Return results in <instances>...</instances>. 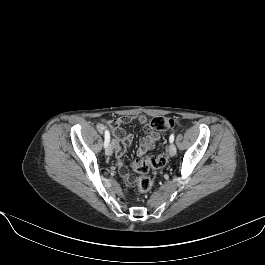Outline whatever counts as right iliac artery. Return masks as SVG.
<instances>
[{"mask_svg": "<svg viewBox=\"0 0 265 265\" xmlns=\"http://www.w3.org/2000/svg\"><path fill=\"white\" fill-rule=\"evenodd\" d=\"M105 141H104V147L106 148L109 145L110 142V134L108 130H105Z\"/></svg>", "mask_w": 265, "mask_h": 265, "instance_id": "obj_1", "label": "right iliac artery"}]
</instances>
